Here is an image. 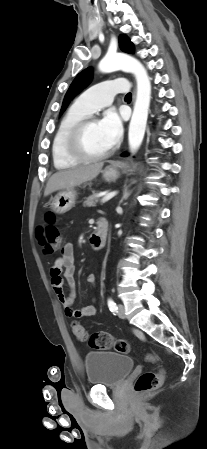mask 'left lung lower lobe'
<instances>
[{"instance_id": "obj_1", "label": "left lung lower lobe", "mask_w": 207, "mask_h": 449, "mask_svg": "<svg viewBox=\"0 0 207 449\" xmlns=\"http://www.w3.org/2000/svg\"><path fill=\"white\" fill-rule=\"evenodd\" d=\"M122 156L125 157V156H127V154H126V153H123Z\"/></svg>"}]
</instances>
